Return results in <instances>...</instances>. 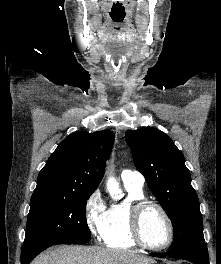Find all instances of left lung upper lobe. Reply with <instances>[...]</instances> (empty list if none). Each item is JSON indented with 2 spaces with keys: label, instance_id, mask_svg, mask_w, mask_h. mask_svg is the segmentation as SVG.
Wrapping results in <instances>:
<instances>
[{
  "label": "left lung upper lobe",
  "instance_id": "5c2ea615",
  "mask_svg": "<svg viewBox=\"0 0 221 264\" xmlns=\"http://www.w3.org/2000/svg\"><path fill=\"white\" fill-rule=\"evenodd\" d=\"M125 139L137 170L171 219L174 240L170 248L204 244L199 200L182 152L156 128L129 130Z\"/></svg>",
  "mask_w": 221,
  "mask_h": 264
}]
</instances>
